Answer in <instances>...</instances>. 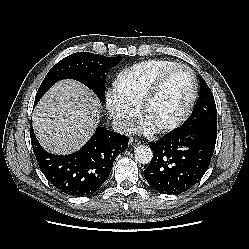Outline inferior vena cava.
<instances>
[{
	"label": "inferior vena cava",
	"instance_id": "602c4592",
	"mask_svg": "<svg viewBox=\"0 0 249 249\" xmlns=\"http://www.w3.org/2000/svg\"><path fill=\"white\" fill-rule=\"evenodd\" d=\"M111 126L115 132L124 135H132L136 131V128L133 124H130L129 122L125 121L114 120L112 121Z\"/></svg>",
	"mask_w": 249,
	"mask_h": 249
}]
</instances>
